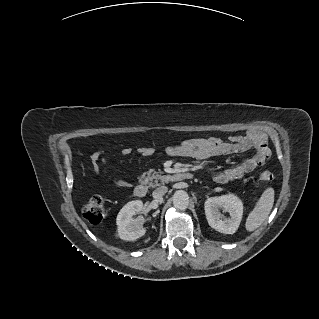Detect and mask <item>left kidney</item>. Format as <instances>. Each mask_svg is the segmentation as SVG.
Segmentation results:
<instances>
[{
    "mask_svg": "<svg viewBox=\"0 0 319 319\" xmlns=\"http://www.w3.org/2000/svg\"><path fill=\"white\" fill-rule=\"evenodd\" d=\"M205 215L208 224L224 234H234L242 220L243 204L234 194H227L208 198L204 203ZM228 212L230 217L223 218L220 212Z\"/></svg>",
    "mask_w": 319,
    "mask_h": 319,
    "instance_id": "left-kidney-1",
    "label": "left kidney"
}]
</instances>
